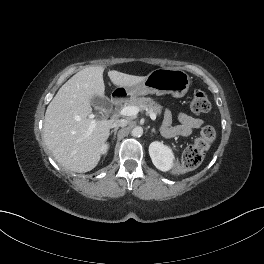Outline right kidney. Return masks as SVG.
<instances>
[{
  "mask_svg": "<svg viewBox=\"0 0 264 264\" xmlns=\"http://www.w3.org/2000/svg\"><path fill=\"white\" fill-rule=\"evenodd\" d=\"M107 146L106 145H104L103 147H102V154H105L106 152H107Z\"/></svg>",
  "mask_w": 264,
  "mask_h": 264,
  "instance_id": "ca27d5eb",
  "label": "right kidney"
}]
</instances>
